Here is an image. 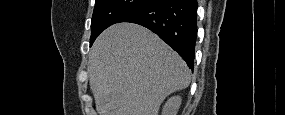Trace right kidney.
Masks as SVG:
<instances>
[{"mask_svg": "<svg viewBox=\"0 0 285 115\" xmlns=\"http://www.w3.org/2000/svg\"><path fill=\"white\" fill-rule=\"evenodd\" d=\"M180 105H181V97L179 96L171 97L165 103L162 110V115H177Z\"/></svg>", "mask_w": 285, "mask_h": 115, "instance_id": "obj_1", "label": "right kidney"}]
</instances>
